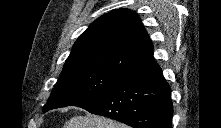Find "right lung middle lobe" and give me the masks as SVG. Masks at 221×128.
<instances>
[{"label":"right lung middle lobe","instance_id":"1","mask_svg":"<svg viewBox=\"0 0 221 128\" xmlns=\"http://www.w3.org/2000/svg\"><path fill=\"white\" fill-rule=\"evenodd\" d=\"M123 75L111 73L98 68H79L62 71L43 112L51 109L76 105L105 92Z\"/></svg>","mask_w":221,"mask_h":128}]
</instances>
